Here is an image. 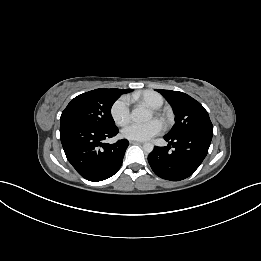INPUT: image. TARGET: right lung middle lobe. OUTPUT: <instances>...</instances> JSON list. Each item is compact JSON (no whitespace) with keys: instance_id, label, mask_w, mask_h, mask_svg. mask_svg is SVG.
Listing matches in <instances>:
<instances>
[{"instance_id":"dd1d6c3e","label":"right lung middle lobe","mask_w":261,"mask_h":261,"mask_svg":"<svg viewBox=\"0 0 261 261\" xmlns=\"http://www.w3.org/2000/svg\"><path fill=\"white\" fill-rule=\"evenodd\" d=\"M128 91L130 90L100 88L80 94L71 100L60 120L112 129L116 126L110 113L111 107L121 94Z\"/></svg>"}]
</instances>
